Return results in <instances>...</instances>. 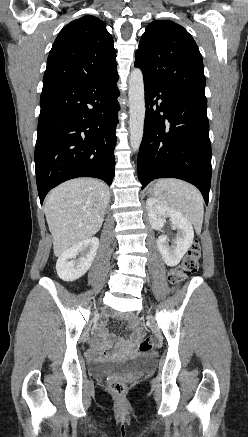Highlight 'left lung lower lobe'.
<instances>
[{"label":"left lung lower lobe","mask_w":248,"mask_h":437,"mask_svg":"<svg viewBox=\"0 0 248 437\" xmlns=\"http://www.w3.org/2000/svg\"><path fill=\"white\" fill-rule=\"evenodd\" d=\"M144 89L146 115L137 164L142 189L157 178H178L195 185L208 204L211 144L206 98L167 90L148 79Z\"/></svg>","instance_id":"left-lung-lower-lobe-1"}]
</instances>
